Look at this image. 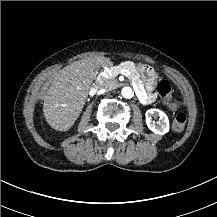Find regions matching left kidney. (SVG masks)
Masks as SVG:
<instances>
[{
	"label": "left kidney",
	"instance_id": "obj_1",
	"mask_svg": "<svg viewBox=\"0 0 217 217\" xmlns=\"http://www.w3.org/2000/svg\"><path fill=\"white\" fill-rule=\"evenodd\" d=\"M145 117L148 128L155 134L164 135L169 131V120L163 111L156 108L149 109L146 111ZM152 117H159V120L155 122Z\"/></svg>",
	"mask_w": 217,
	"mask_h": 217
}]
</instances>
